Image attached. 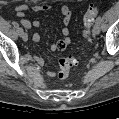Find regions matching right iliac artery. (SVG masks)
<instances>
[{"label":"right iliac artery","instance_id":"right-iliac-artery-1","mask_svg":"<svg viewBox=\"0 0 119 119\" xmlns=\"http://www.w3.org/2000/svg\"><path fill=\"white\" fill-rule=\"evenodd\" d=\"M23 32H24V31H23V28L20 27V28H19V34H20V36L23 34Z\"/></svg>","mask_w":119,"mask_h":119}]
</instances>
